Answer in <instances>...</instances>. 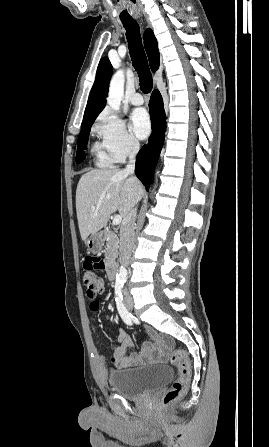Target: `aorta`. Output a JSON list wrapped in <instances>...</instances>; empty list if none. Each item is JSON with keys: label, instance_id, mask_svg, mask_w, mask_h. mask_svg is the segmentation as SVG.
Wrapping results in <instances>:
<instances>
[{"label": "aorta", "instance_id": "obj_1", "mask_svg": "<svg viewBox=\"0 0 269 447\" xmlns=\"http://www.w3.org/2000/svg\"><path fill=\"white\" fill-rule=\"evenodd\" d=\"M124 84V72L123 70H119V72H116V74L112 76L107 98V104L108 106H110V108H112V110H120L122 96H124ZM127 273L128 271L126 267H124V265H121L116 275V283H124V281H126L127 279Z\"/></svg>", "mask_w": 269, "mask_h": 447}]
</instances>
